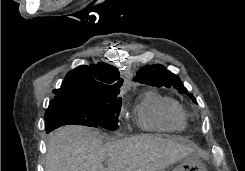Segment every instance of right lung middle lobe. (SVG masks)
<instances>
[{"label":"right lung middle lobe","instance_id":"1","mask_svg":"<svg viewBox=\"0 0 245 171\" xmlns=\"http://www.w3.org/2000/svg\"><path fill=\"white\" fill-rule=\"evenodd\" d=\"M120 109L121 99H117V96L51 102L45 113L46 132L69 124L100 127L114 131Z\"/></svg>","mask_w":245,"mask_h":171}]
</instances>
